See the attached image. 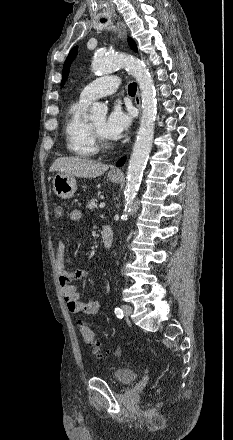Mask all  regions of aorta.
Returning <instances> with one entry per match:
<instances>
[{"mask_svg": "<svg viewBox=\"0 0 233 440\" xmlns=\"http://www.w3.org/2000/svg\"><path fill=\"white\" fill-rule=\"evenodd\" d=\"M92 68L94 72L101 75L125 68L135 77L141 91L142 117L127 169L125 205L123 210V217L127 218V213L130 211L136 197L152 147L157 110L156 90L146 65L135 57L124 54L110 56L95 54ZM107 111L108 108L104 104L95 103L91 107L90 118L104 117Z\"/></svg>", "mask_w": 233, "mask_h": 440, "instance_id": "obj_1", "label": "aorta"}]
</instances>
